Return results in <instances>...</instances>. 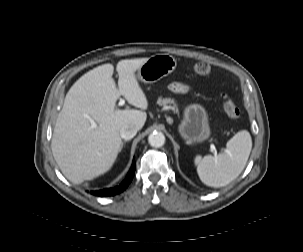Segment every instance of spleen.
I'll return each instance as SVG.
<instances>
[{
	"label": "spleen",
	"mask_w": 303,
	"mask_h": 252,
	"mask_svg": "<svg viewBox=\"0 0 303 252\" xmlns=\"http://www.w3.org/2000/svg\"><path fill=\"white\" fill-rule=\"evenodd\" d=\"M252 149V139L247 130L236 133L226 144V150L217 156L197 155L194 163L200 180L210 187L228 185L245 168Z\"/></svg>",
	"instance_id": "spleen-1"
}]
</instances>
